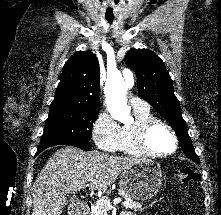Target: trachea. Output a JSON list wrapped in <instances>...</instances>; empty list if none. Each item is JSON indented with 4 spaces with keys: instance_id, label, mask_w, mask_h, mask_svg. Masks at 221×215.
<instances>
[{
    "instance_id": "trachea-1",
    "label": "trachea",
    "mask_w": 221,
    "mask_h": 215,
    "mask_svg": "<svg viewBox=\"0 0 221 215\" xmlns=\"http://www.w3.org/2000/svg\"><path fill=\"white\" fill-rule=\"evenodd\" d=\"M107 21H108L109 23H112V22H113V18H107Z\"/></svg>"
}]
</instances>
